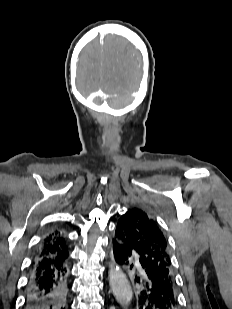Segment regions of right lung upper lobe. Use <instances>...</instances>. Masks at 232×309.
I'll list each match as a JSON object with an SVG mask.
<instances>
[{
	"label": "right lung upper lobe",
	"instance_id": "obj_1",
	"mask_svg": "<svg viewBox=\"0 0 232 309\" xmlns=\"http://www.w3.org/2000/svg\"><path fill=\"white\" fill-rule=\"evenodd\" d=\"M68 253V244L65 238L60 231L56 230L45 238L42 247L36 254V258L66 257Z\"/></svg>",
	"mask_w": 232,
	"mask_h": 309
}]
</instances>
